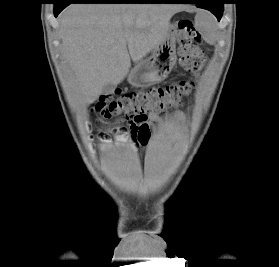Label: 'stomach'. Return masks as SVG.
<instances>
[{
	"mask_svg": "<svg viewBox=\"0 0 279 267\" xmlns=\"http://www.w3.org/2000/svg\"><path fill=\"white\" fill-rule=\"evenodd\" d=\"M176 26L169 25L167 35L154 49L151 57L141 61L127 74V81L134 87H148L167 78L176 63Z\"/></svg>",
	"mask_w": 279,
	"mask_h": 267,
	"instance_id": "obj_1",
	"label": "stomach"
}]
</instances>
